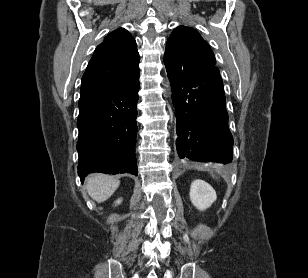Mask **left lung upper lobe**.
<instances>
[{
	"label": "left lung upper lobe",
	"mask_w": 308,
	"mask_h": 278,
	"mask_svg": "<svg viewBox=\"0 0 308 278\" xmlns=\"http://www.w3.org/2000/svg\"><path fill=\"white\" fill-rule=\"evenodd\" d=\"M166 70L187 75L215 67L208 43L191 27L179 26L170 35L164 54Z\"/></svg>",
	"instance_id": "5c2ea615"
}]
</instances>
